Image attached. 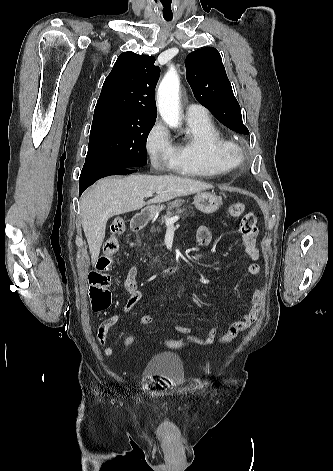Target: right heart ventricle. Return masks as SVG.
Segmentation results:
<instances>
[{
  "mask_svg": "<svg viewBox=\"0 0 333 471\" xmlns=\"http://www.w3.org/2000/svg\"><path fill=\"white\" fill-rule=\"evenodd\" d=\"M186 136L173 145L170 165L182 175L212 177L227 173L234 167L227 149L230 141L206 114L188 119Z\"/></svg>",
  "mask_w": 333,
  "mask_h": 471,
  "instance_id": "1",
  "label": "right heart ventricle"
}]
</instances>
